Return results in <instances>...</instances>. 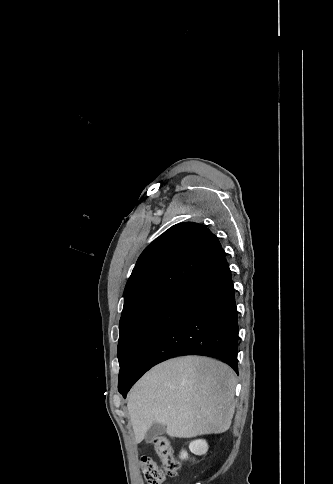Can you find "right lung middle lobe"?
<instances>
[{
  "instance_id": "dd1d6c3e",
  "label": "right lung middle lobe",
  "mask_w": 333,
  "mask_h": 484,
  "mask_svg": "<svg viewBox=\"0 0 333 484\" xmlns=\"http://www.w3.org/2000/svg\"><path fill=\"white\" fill-rule=\"evenodd\" d=\"M171 293H160L138 304L121 316L118 343V359L120 364L118 390L126 386L130 375V367L135 357V351L155 314Z\"/></svg>"
}]
</instances>
